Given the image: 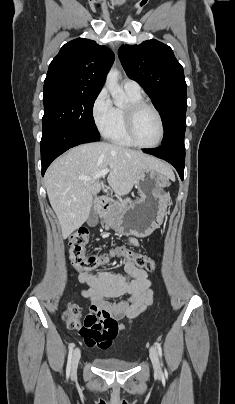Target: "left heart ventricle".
I'll return each instance as SVG.
<instances>
[{
    "label": "left heart ventricle",
    "instance_id": "1",
    "mask_svg": "<svg viewBox=\"0 0 235 404\" xmlns=\"http://www.w3.org/2000/svg\"><path fill=\"white\" fill-rule=\"evenodd\" d=\"M160 133L156 115L149 109H143L135 121V135L137 140L146 145L155 143Z\"/></svg>",
    "mask_w": 235,
    "mask_h": 404
}]
</instances>
